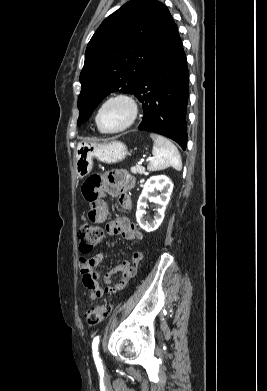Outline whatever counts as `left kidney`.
<instances>
[{
  "label": "left kidney",
  "mask_w": 267,
  "mask_h": 391,
  "mask_svg": "<svg viewBox=\"0 0 267 391\" xmlns=\"http://www.w3.org/2000/svg\"><path fill=\"white\" fill-rule=\"evenodd\" d=\"M172 191V181L164 175L152 176L144 184L137 202L136 219L139 226L146 232L155 231L161 225ZM158 192H161V195H158ZM147 200L157 204V213L151 221H147L144 217Z\"/></svg>",
  "instance_id": "1"
}]
</instances>
